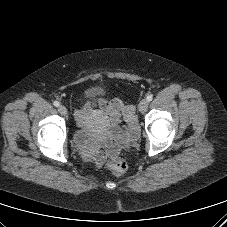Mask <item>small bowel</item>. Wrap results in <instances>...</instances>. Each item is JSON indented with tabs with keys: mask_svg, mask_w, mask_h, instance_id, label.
Instances as JSON below:
<instances>
[{
	"mask_svg": "<svg viewBox=\"0 0 227 227\" xmlns=\"http://www.w3.org/2000/svg\"><path fill=\"white\" fill-rule=\"evenodd\" d=\"M100 111L92 113L89 107L77 113V121L84 125L88 116L93 117L94 129L90 137L81 134L77 146L82 156L100 167L107 157H115L120 142L128 143L138 136L135 110L132 105H125L120 99L105 100L99 98ZM123 121L126 128L119 126ZM103 134L106 135V150L103 149Z\"/></svg>",
	"mask_w": 227,
	"mask_h": 227,
	"instance_id": "small-bowel-1",
	"label": "small bowel"
}]
</instances>
